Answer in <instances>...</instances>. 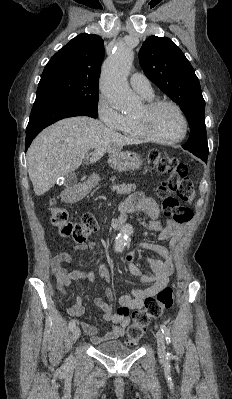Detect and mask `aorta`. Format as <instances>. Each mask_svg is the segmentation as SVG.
<instances>
[{
  "label": "aorta",
  "mask_w": 232,
  "mask_h": 399,
  "mask_svg": "<svg viewBox=\"0 0 232 399\" xmlns=\"http://www.w3.org/2000/svg\"><path fill=\"white\" fill-rule=\"evenodd\" d=\"M134 53L126 47H118L107 58L102 67L100 88L113 108L121 111H133L140 105L139 99L131 90L127 78L130 73ZM132 227L125 225L116 237L114 249L122 252L126 246L128 235Z\"/></svg>",
  "instance_id": "obj_1"
}]
</instances>
